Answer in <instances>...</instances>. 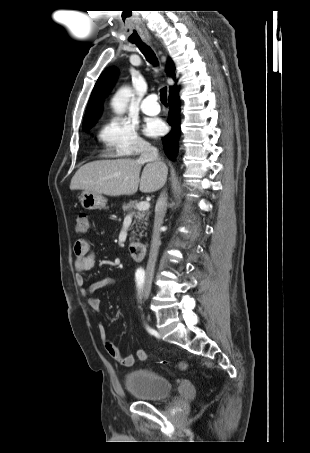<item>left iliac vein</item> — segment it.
I'll list each match as a JSON object with an SVG mask.
<instances>
[{
    "mask_svg": "<svg viewBox=\"0 0 310 453\" xmlns=\"http://www.w3.org/2000/svg\"><path fill=\"white\" fill-rule=\"evenodd\" d=\"M147 285L144 287V290H143V296L144 297H147L148 296V291H147Z\"/></svg>",
    "mask_w": 310,
    "mask_h": 453,
    "instance_id": "obj_1",
    "label": "left iliac vein"
}]
</instances>
